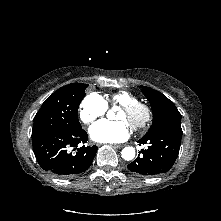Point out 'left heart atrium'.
<instances>
[{"instance_id": "39dd6f15", "label": "left heart atrium", "mask_w": 221, "mask_h": 221, "mask_svg": "<svg viewBox=\"0 0 221 221\" xmlns=\"http://www.w3.org/2000/svg\"><path fill=\"white\" fill-rule=\"evenodd\" d=\"M92 140L100 143H118L130 135L129 125L125 121L102 120L94 124L90 130Z\"/></svg>"}]
</instances>
